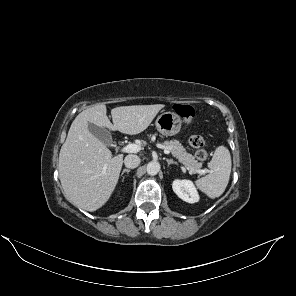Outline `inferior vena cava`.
Listing matches in <instances>:
<instances>
[{
	"label": "inferior vena cava",
	"instance_id": "1",
	"mask_svg": "<svg viewBox=\"0 0 296 296\" xmlns=\"http://www.w3.org/2000/svg\"><path fill=\"white\" fill-rule=\"evenodd\" d=\"M124 164L127 168L134 169L139 166L140 158L134 154L127 155L124 159Z\"/></svg>",
	"mask_w": 296,
	"mask_h": 296
}]
</instances>
